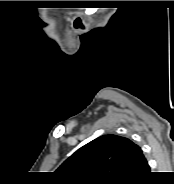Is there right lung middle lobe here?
<instances>
[{"mask_svg": "<svg viewBox=\"0 0 174 184\" xmlns=\"http://www.w3.org/2000/svg\"><path fill=\"white\" fill-rule=\"evenodd\" d=\"M122 183V182H121ZM121 183H115V184H121ZM93 184V183H92ZM94 184H104V183H94ZM106 184V183H105ZM108 184V183H107Z\"/></svg>", "mask_w": 174, "mask_h": 184, "instance_id": "obj_1", "label": "right lung middle lobe"}]
</instances>
